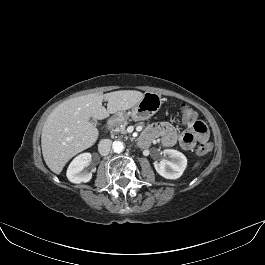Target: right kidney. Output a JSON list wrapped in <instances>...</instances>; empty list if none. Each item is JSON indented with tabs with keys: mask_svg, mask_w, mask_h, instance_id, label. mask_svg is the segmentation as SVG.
Wrapping results in <instances>:
<instances>
[{
	"mask_svg": "<svg viewBox=\"0 0 265 265\" xmlns=\"http://www.w3.org/2000/svg\"><path fill=\"white\" fill-rule=\"evenodd\" d=\"M92 156L90 153H82L75 157L67 169V178L72 183H86L92 178V173L86 168L90 164Z\"/></svg>",
	"mask_w": 265,
	"mask_h": 265,
	"instance_id": "right-kidney-1",
	"label": "right kidney"
}]
</instances>
